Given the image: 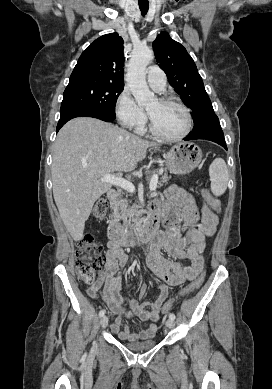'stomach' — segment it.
I'll return each instance as SVG.
<instances>
[{
    "label": "stomach",
    "instance_id": "stomach-1",
    "mask_svg": "<svg viewBox=\"0 0 272 389\" xmlns=\"http://www.w3.org/2000/svg\"><path fill=\"white\" fill-rule=\"evenodd\" d=\"M202 156L200 147L191 142L174 145L164 154L168 170L180 175L193 171L201 162Z\"/></svg>",
    "mask_w": 272,
    "mask_h": 389
}]
</instances>
